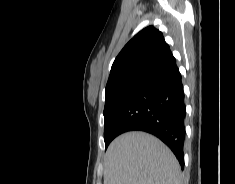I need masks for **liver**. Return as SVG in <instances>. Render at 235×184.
I'll return each instance as SVG.
<instances>
[{
	"mask_svg": "<svg viewBox=\"0 0 235 184\" xmlns=\"http://www.w3.org/2000/svg\"><path fill=\"white\" fill-rule=\"evenodd\" d=\"M104 184H181L174 154L155 136L127 132L111 142L104 160Z\"/></svg>",
	"mask_w": 235,
	"mask_h": 184,
	"instance_id": "6515ba94",
	"label": "liver"
}]
</instances>
